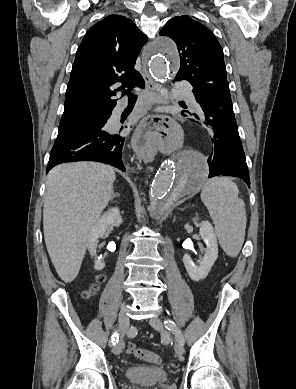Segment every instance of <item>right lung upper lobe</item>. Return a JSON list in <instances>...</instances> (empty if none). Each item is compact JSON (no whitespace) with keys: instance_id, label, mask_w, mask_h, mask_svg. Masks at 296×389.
Instances as JSON below:
<instances>
[{"instance_id":"cb5924a9","label":"right lung upper lobe","mask_w":296,"mask_h":389,"mask_svg":"<svg viewBox=\"0 0 296 389\" xmlns=\"http://www.w3.org/2000/svg\"><path fill=\"white\" fill-rule=\"evenodd\" d=\"M146 42L124 16L110 15L92 26L77 49L62 118L110 115L116 105L110 87L121 83L120 88H131L143 79L134 65Z\"/></svg>"}]
</instances>
